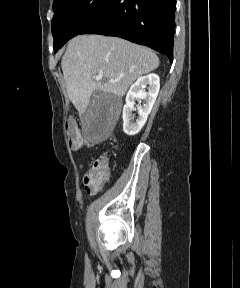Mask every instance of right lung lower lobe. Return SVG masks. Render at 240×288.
<instances>
[{
	"mask_svg": "<svg viewBox=\"0 0 240 288\" xmlns=\"http://www.w3.org/2000/svg\"><path fill=\"white\" fill-rule=\"evenodd\" d=\"M176 0H112L80 34L117 36L173 58Z\"/></svg>",
	"mask_w": 240,
	"mask_h": 288,
	"instance_id": "obj_1",
	"label": "right lung lower lobe"
}]
</instances>
